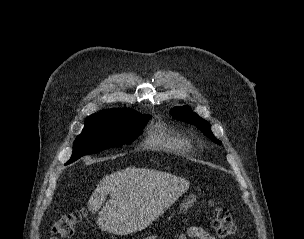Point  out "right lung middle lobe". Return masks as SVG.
Returning <instances> with one entry per match:
<instances>
[{"label": "right lung middle lobe", "instance_id": "1", "mask_svg": "<svg viewBox=\"0 0 304 239\" xmlns=\"http://www.w3.org/2000/svg\"><path fill=\"white\" fill-rule=\"evenodd\" d=\"M150 115H141L130 110L115 117H87L82 133L73 144V153L68 161L110 148L131 144L142 132Z\"/></svg>", "mask_w": 304, "mask_h": 239}]
</instances>
